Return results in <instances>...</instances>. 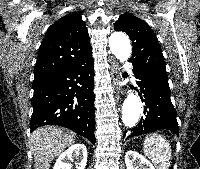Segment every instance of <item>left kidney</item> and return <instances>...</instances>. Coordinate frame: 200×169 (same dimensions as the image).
Instances as JSON below:
<instances>
[{
	"instance_id": "5707ae66",
	"label": "left kidney",
	"mask_w": 200,
	"mask_h": 169,
	"mask_svg": "<svg viewBox=\"0 0 200 169\" xmlns=\"http://www.w3.org/2000/svg\"><path fill=\"white\" fill-rule=\"evenodd\" d=\"M125 163L127 169H155L150 161L133 150L126 152Z\"/></svg>"
}]
</instances>
